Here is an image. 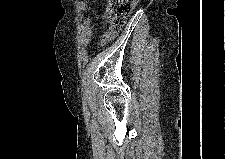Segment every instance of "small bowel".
Segmentation results:
<instances>
[{
    "instance_id": "1",
    "label": "small bowel",
    "mask_w": 225,
    "mask_h": 159,
    "mask_svg": "<svg viewBox=\"0 0 225 159\" xmlns=\"http://www.w3.org/2000/svg\"><path fill=\"white\" fill-rule=\"evenodd\" d=\"M78 9L80 12H85L89 9V4L87 1H80L78 4ZM92 18L86 17L83 19L81 26H80V33L78 37V41L82 46H86L90 43L92 38ZM114 33L111 32L109 29H106L99 40V45L104 46L106 45L111 39H113Z\"/></svg>"
}]
</instances>
